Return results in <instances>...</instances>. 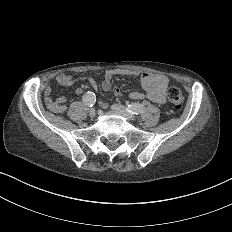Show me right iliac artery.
I'll use <instances>...</instances> for the list:
<instances>
[{
    "mask_svg": "<svg viewBox=\"0 0 232 232\" xmlns=\"http://www.w3.org/2000/svg\"><path fill=\"white\" fill-rule=\"evenodd\" d=\"M82 101L88 106H93L96 102L95 93L92 91L86 92L82 97Z\"/></svg>",
    "mask_w": 232,
    "mask_h": 232,
    "instance_id": "right-iliac-artery-1",
    "label": "right iliac artery"
}]
</instances>
